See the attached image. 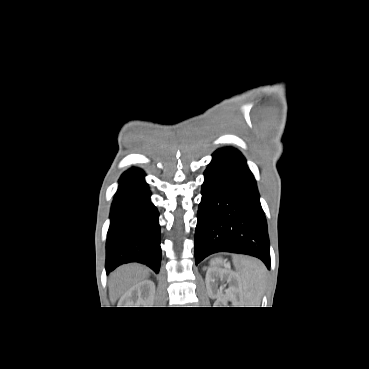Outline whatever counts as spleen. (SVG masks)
I'll return each mask as SVG.
<instances>
[{
    "instance_id": "obj_1",
    "label": "spleen",
    "mask_w": 369,
    "mask_h": 369,
    "mask_svg": "<svg viewBox=\"0 0 369 369\" xmlns=\"http://www.w3.org/2000/svg\"><path fill=\"white\" fill-rule=\"evenodd\" d=\"M239 275L242 297L247 307H260L265 284V266L256 259L233 256Z\"/></svg>"
}]
</instances>
